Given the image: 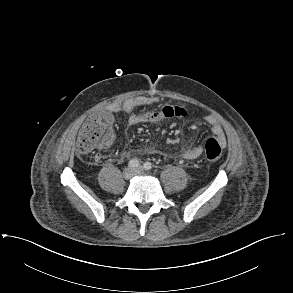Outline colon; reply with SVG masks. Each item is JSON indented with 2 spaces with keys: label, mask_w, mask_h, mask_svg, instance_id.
<instances>
[{
  "label": "colon",
  "mask_w": 293,
  "mask_h": 293,
  "mask_svg": "<svg viewBox=\"0 0 293 293\" xmlns=\"http://www.w3.org/2000/svg\"><path fill=\"white\" fill-rule=\"evenodd\" d=\"M187 111L178 106L166 105L159 110L147 115V117L162 116H186ZM114 119L111 113L106 111L96 112L86 119L76 143V150L81 155H88L99 147L106 146L113 139ZM223 154L222 146L214 139H208L205 143V158L209 162L218 161Z\"/></svg>",
  "instance_id": "1"
}]
</instances>
